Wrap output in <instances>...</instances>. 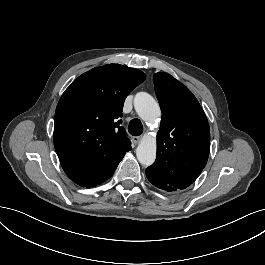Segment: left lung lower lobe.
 <instances>
[{"label": "left lung lower lobe", "mask_w": 265, "mask_h": 265, "mask_svg": "<svg viewBox=\"0 0 265 265\" xmlns=\"http://www.w3.org/2000/svg\"><path fill=\"white\" fill-rule=\"evenodd\" d=\"M146 176L148 178V180L157 188L168 191V192H172V191H176L178 190L176 187L169 185L168 183L164 182L163 180H161L160 178L152 175L151 173H149L148 171H146Z\"/></svg>", "instance_id": "0a47b994"}]
</instances>
